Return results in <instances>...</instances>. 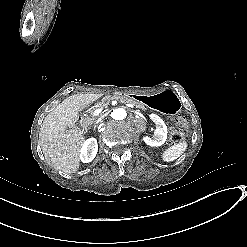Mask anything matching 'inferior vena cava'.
I'll use <instances>...</instances> for the list:
<instances>
[{
	"label": "inferior vena cava",
	"mask_w": 247,
	"mask_h": 247,
	"mask_svg": "<svg viewBox=\"0 0 247 247\" xmlns=\"http://www.w3.org/2000/svg\"><path fill=\"white\" fill-rule=\"evenodd\" d=\"M103 118H104V116H101L100 118H98L97 121H96V123L101 122Z\"/></svg>",
	"instance_id": "obj_1"
}]
</instances>
